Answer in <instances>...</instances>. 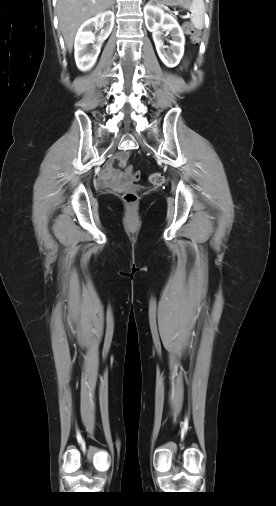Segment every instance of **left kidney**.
<instances>
[{"label": "left kidney", "mask_w": 276, "mask_h": 506, "mask_svg": "<svg viewBox=\"0 0 276 506\" xmlns=\"http://www.w3.org/2000/svg\"><path fill=\"white\" fill-rule=\"evenodd\" d=\"M144 18L147 29L152 32L153 41L162 62L167 67L177 66L183 57L185 45V37L178 22L171 15L150 3L144 7ZM159 27L171 33L172 52L165 51L166 46L163 44Z\"/></svg>", "instance_id": "left-kidney-1"}]
</instances>
